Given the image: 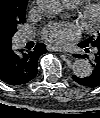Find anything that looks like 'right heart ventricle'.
I'll return each mask as SVG.
<instances>
[{
    "label": "right heart ventricle",
    "instance_id": "1",
    "mask_svg": "<svg viewBox=\"0 0 100 118\" xmlns=\"http://www.w3.org/2000/svg\"><path fill=\"white\" fill-rule=\"evenodd\" d=\"M68 5H78L81 3L83 0H64Z\"/></svg>",
    "mask_w": 100,
    "mask_h": 118
}]
</instances>
